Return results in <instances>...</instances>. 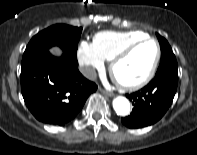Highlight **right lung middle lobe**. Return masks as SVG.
I'll list each match as a JSON object with an SVG mask.
<instances>
[{
	"label": "right lung middle lobe",
	"instance_id": "obj_1",
	"mask_svg": "<svg viewBox=\"0 0 197 155\" xmlns=\"http://www.w3.org/2000/svg\"><path fill=\"white\" fill-rule=\"evenodd\" d=\"M81 32V27L64 24H56L44 29L28 43L23 54L21 68L29 66L41 55L49 53V48L53 46H59L64 53L75 56Z\"/></svg>",
	"mask_w": 197,
	"mask_h": 155
}]
</instances>
